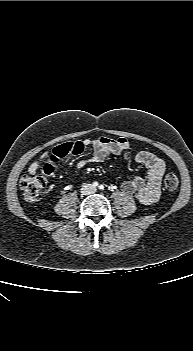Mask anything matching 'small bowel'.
Returning <instances> with one entry per match:
<instances>
[{"label": "small bowel", "instance_id": "small-bowel-1", "mask_svg": "<svg viewBox=\"0 0 193 351\" xmlns=\"http://www.w3.org/2000/svg\"><path fill=\"white\" fill-rule=\"evenodd\" d=\"M87 148L92 150V155L78 161L76 168L79 171L89 162H102L110 155L122 154L130 148V143L123 137L117 139L98 137L59 143L49 153H43L33 161L28 167V172L35 174L41 166V161L47 157L42 168L45 174L53 177L55 168L61 160L70 156H83ZM135 161L146 168V176L144 178L133 177L124 182L121 189L128 195H134L143 203H154L160 194V183L166 170V164L161 158L147 151L138 152L135 155Z\"/></svg>", "mask_w": 193, "mask_h": 351}]
</instances>
